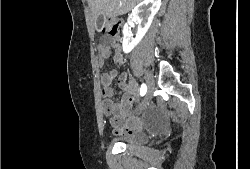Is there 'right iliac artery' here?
Returning a JSON list of instances; mask_svg holds the SVG:
<instances>
[{
    "mask_svg": "<svg viewBox=\"0 0 250 169\" xmlns=\"http://www.w3.org/2000/svg\"><path fill=\"white\" fill-rule=\"evenodd\" d=\"M146 92H147V86H146V84H142L141 88H140V95L144 96L146 94Z\"/></svg>",
    "mask_w": 250,
    "mask_h": 169,
    "instance_id": "82829eb1",
    "label": "right iliac artery"
}]
</instances>
